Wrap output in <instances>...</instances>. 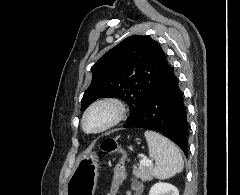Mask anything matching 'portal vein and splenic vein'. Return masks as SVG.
<instances>
[{
	"label": "portal vein and splenic vein",
	"instance_id": "portal-vein-and-splenic-vein-1",
	"mask_svg": "<svg viewBox=\"0 0 240 195\" xmlns=\"http://www.w3.org/2000/svg\"><path fill=\"white\" fill-rule=\"evenodd\" d=\"M140 165H153V159H140Z\"/></svg>",
	"mask_w": 240,
	"mask_h": 195
}]
</instances>
